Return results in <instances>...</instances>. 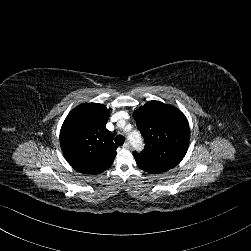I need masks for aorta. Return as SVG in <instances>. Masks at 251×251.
Returning a JSON list of instances; mask_svg holds the SVG:
<instances>
[{"mask_svg": "<svg viewBox=\"0 0 251 251\" xmlns=\"http://www.w3.org/2000/svg\"><path fill=\"white\" fill-rule=\"evenodd\" d=\"M128 140L132 145L135 147V149L139 150V148L142 147V138L141 134L138 131H133L128 135Z\"/></svg>", "mask_w": 251, "mask_h": 251, "instance_id": "obj_1", "label": "aorta"}]
</instances>
